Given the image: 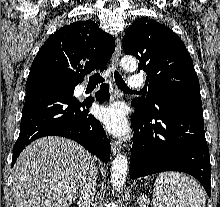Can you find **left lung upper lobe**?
I'll list each match as a JSON object with an SVG mask.
<instances>
[{"label":"left lung upper lobe","instance_id":"1","mask_svg":"<svg viewBox=\"0 0 220 207\" xmlns=\"http://www.w3.org/2000/svg\"><path fill=\"white\" fill-rule=\"evenodd\" d=\"M122 45L126 54L139 60L138 71L147 75V98L134 100L133 106L153 113L165 95L200 92L190 54L182 40L165 25L141 17L127 28Z\"/></svg>","mask_w":220,"mask_h":207}]
</instances>
